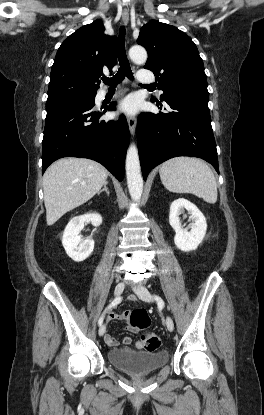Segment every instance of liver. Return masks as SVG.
Here are the masks:
<instances>
[{
    "label": "liver",
    "mask_w": 264,
    "mask_h": 415,
    "mask_svg": "<svg viewBox=\"0 0 264 415\" xmlns=\"http://www.w3.org/2000/svg\"><path fill=\"white\" fill-rule=\"evenodd\" d=\"M107 177L106 168L90 159L68 157L54 162L43 176L47 225L90 200Z\"/></svg>",
    "instance_id": "6515ba94"
}]
</instances>
